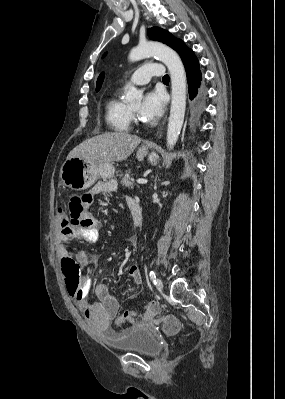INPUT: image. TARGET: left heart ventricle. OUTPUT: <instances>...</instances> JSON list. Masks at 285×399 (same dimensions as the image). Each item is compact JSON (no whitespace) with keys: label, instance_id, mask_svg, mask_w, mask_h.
Listing matches in <instances>:
<instances>
[{"label":"left heart ventricle","instance_id":"1","mask_svg":"<svg viewBox=\"0 0 285 399\" xmlns=\"http://www.w3.org/2000/svg\"><path fill=\"white\" fill-rule=\"evenodd\" d=\"M131 109L138 112V110L140 109V103L134 105Z\"/></svg>","mask_w":285,"mask_h":399}]
</instances>
